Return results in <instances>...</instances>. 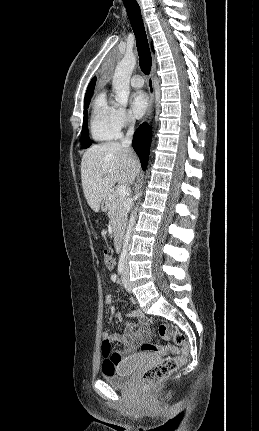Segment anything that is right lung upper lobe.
<instances>
[{
	"label": "right lung upper lobe",
	"instance_id": "obj_1",
	"mask_svg": "<svg viewBox=\"0 0 259 431\" xmlns=\"http://www.w3.org/2000/svg\"><path fill=\"white\" fill-rule=\"evenodd\" d=\"M95 82H96V77H94V78L91 80L90 84L88 85V88H87L86 94H89V93L93 92L94 87H95Z\"/></svg>",
	"mask_w": 259,
	"mask_h": 431
}]
</instances>
